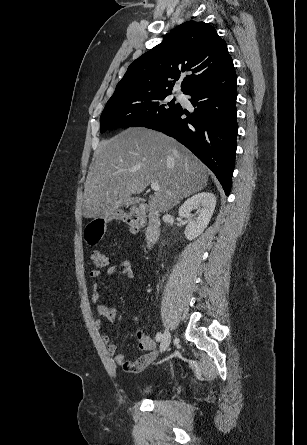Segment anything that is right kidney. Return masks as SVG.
<instances>
[{"instance_id": "right-kidney-1", "label": "right kidney", "mask_w": 307, "mask_h": 445, "mask_svg": "<svg viewBox=\"0 0 307 445\" xmlns=\"http://www.w3.org/2000/svg\"><path fill=\"white\" fill-rule=\"evenodd\" d=\"M216 206V196L213 192H198L191 198H187L179 208V216H186L189 223L185 229V237L188 241L197 239L205 231ZM192 208H197L198 216L191 214Z\"/></svg>"}]
</instances>
